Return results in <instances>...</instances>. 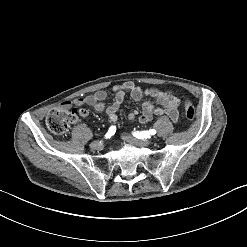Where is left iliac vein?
<instances>
[{"label": "left iliac vein", "instance_id": "1", "mask_svg": "<svg viewBox=\"0 0 247 247\" xmlns=\"http://www.w3.org/2000/svg\"><path fill=\"white\" fill-rule=\"evenodd\" d=\"M122 139L127 141V142H131V143H135V144H139L141 146H149L152 142L148 139H138L135 138L131 135L128 134H122Z\"/></svg>", "mask_w": 247, "mask_h": 247}]
</instances>
